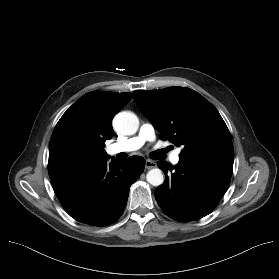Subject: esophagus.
I'll list each match as a JSON object with an SVG mask.
<instances>
[{
    "instance_id": "1",
    "label": "esophagus",
    "mask_w": 279,
    "mask_h": 279,
    "mask_svg": "<svg viewBox=\"0 0 279 279\" xmlns=\"http://www.w3.org/2000/svg\"><path fill=\"white\" fill-rule=\"evenodd\" d=\"M156 167V163L150 159H147L145 162V168L146 169H152Z\"/></svg>"
}]
</instances>
